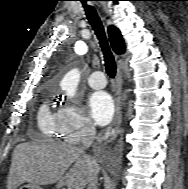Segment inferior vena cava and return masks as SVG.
Segmentation results:
<instances>
[{"label":"inferior vena cava","instance_id":"1","mask_svg":"<svg viewBox=\"0 0 188 189\" xmlns=\"http://www.w3.org/2000/svg\"><path fill=\"white\" fill-rule=\"evenodd\" d=\"M96 135L95 126L93 124L87 125L82 131H81V142H82V149L89 148ZM93 162L95 160L93 159ZM87 189H98V181H97V174L94 175L87 186Z\"/></svg>","mask_w":188,"mask_h":189}]
</instances>
